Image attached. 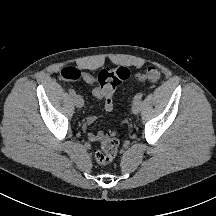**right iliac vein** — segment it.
<instances>
[{
	"label": "right iliac vein",
	"mask_w": 216,
	"mask_h": 216,
	"mask_svg": "<svg viewBox=\"0 0 216 216\" xmlns=\"http://www.w3.org/2000/svg\"><path fill=\"white\" fill-rule=\"evenodd\" d=\"M73 101L76 107L81 108L84 105V100L80 95H75Z\"/></svg>",
	"instance_id": "right-iliac-vein-1"
}]
</instances>
